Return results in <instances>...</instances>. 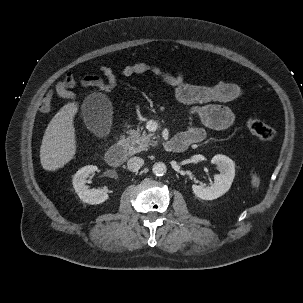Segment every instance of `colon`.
Instances as JSON below:
<instances>
[{
  "label": "colon",
  "instance_id": "obj_1",
  "mask_svg": "<svg viewBox=\"0 0 303 303\" xmlns=\"http://www.w3.org/2000/svg\"><path fill=\"white\" fill-rule=\"evenodd\" d=\"M114 85L115 83L113 81L105 80L103 90L105 92L111 91L112 89H114ZM245 126L251 134L259 138L263 142L271 143L276 138V131L272 127L268 126L267 124L258 119L247 118L245 121Z\"/></svg>",
  "mask_w": 303,
  "mask_h": 303
}]
</instances>
